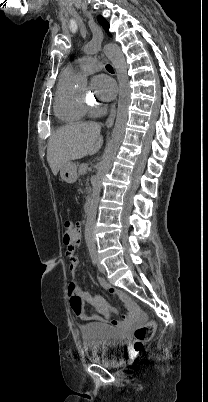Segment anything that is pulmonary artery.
<instances>
[{"label":"pulmonary artery","mask_w":208,"mask_h":402,"mask_svg":"<svg viewBox=\"0 0 208 402\" xmlns=\"http://www.w3.org/2000/svg\"><path fill=\"white\" fill-rule=\"evenodd\" d=\"M87 54H91L87 52ZM101 61L100 60H91L88 56L78 58L75 62L69 64L65 71L72 76L79 78L85 75L91 74L94 71L101 70Z\"/></svg>","instance_id":"pulmonary-artery-1"}]
</instances>
